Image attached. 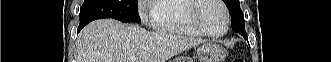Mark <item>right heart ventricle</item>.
Wrapping results in <instances>:
<instances>
[{"mask_svg":"<svg viewBox=\"0 0 331 62\" xmlns=\"http://www.w3.org/2000/svg\"><path fill=\"white\" fill-rule=\"evenodd\" d=\"M189 0H161L152 12L156 29L190 37L202 36L187 20Z\"/></svg>","mask_w":331,"mask_h":62,"instance_id":"right-heart-ventricle-1","label":"right heart ventricle"}]
</instances>
